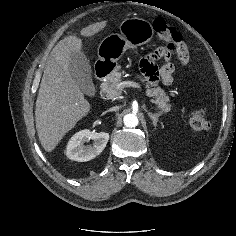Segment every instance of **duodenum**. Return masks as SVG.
<instances>
[{"mask_svg":"<svg viewBox=\"0 0 236 236\" xmlns=\"http://www.w3.org/2000/svg\"><path fill=\"white\" fill-rule=\"evenodd\" d=\"M113 66L108 64H102L97 66L95 71V78L98 82H101L111 71Z\"/></svg>","mask_w":236,"mask_h":236,"instance_id":"410a0bca","label":"duodenum"}]
</instances>
